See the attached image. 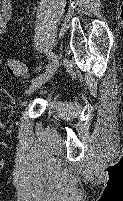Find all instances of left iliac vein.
Segmentation results:
<instances>
[{"instance_id": "left-iliac-vein-1", "label": "left iliac vein", "mask_w": 123, "mask_h": 201, "mask_svg": "<svg viewBox=\"0 0 123 201\" xmlns=\"http://www.w3.org/2000/svg\"><path fill=\"white\" fill-rule=\"evenodd\" d=\"M60 57H57V61L48 66L41 74H39L31 83L28 93H33L36 89L46 83L56 72L60 65Z\"/></svg>"}]
</instances>
